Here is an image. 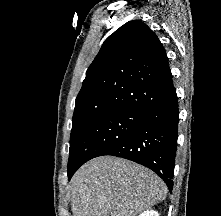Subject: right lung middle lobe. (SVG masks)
Returning <instances> with one entry per match:
<instances>
[{
    "label": "right lung middle lobe",
    "instance_id": "dd1d6c3e",
    "mask_svg": "<svg viewBox=\"0 0 221 216\" xmlns=\"http://www.w3.org/2000/svg\"><path fill=\"white\" fill-rule=\"evenodd\" d=\"M144 111L121 109L110 111L72 126L69 170L88 160L104 155L138 127Z\"/></svg>",
    "mask_w": 221,
    "mask_h": 216
}]
</instances>
